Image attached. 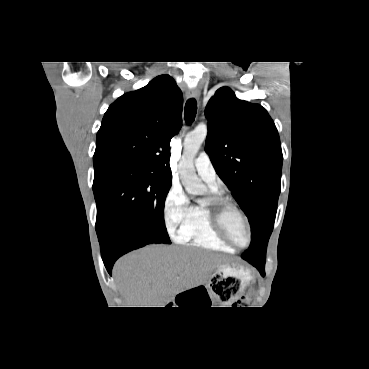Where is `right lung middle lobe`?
Here are the masks:
<instances>
[{"label": "right lung middle lobe", "instance_id": "1", "mask_svg": "<svg viewBox=\"0 0 369 369\" xmlns=\"http://www.w3.org/2000/svg\"><path fill=\"white\" fill-rule=\"evenodd\" d=\"M170 187L171 179L144 170L95 167L98 239L127 226L152 243L170 244L164 222V203Z\"/></svg>", "mask_w": 369, "mask_h": 369}]
</instances>
